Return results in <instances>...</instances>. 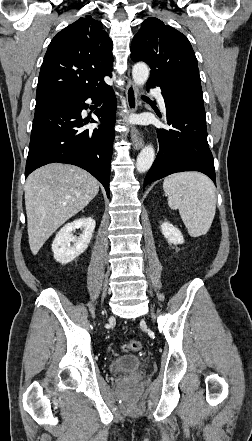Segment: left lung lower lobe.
<instances>
[{
  "mask_svg": "<svg viewBox=\"0 0 252 441\" xmlns=\"http://www.w3.org/2000/svg\"><path fill=\"white\" fill-rule=\"evenodd\" d=\"M157 85L147 84L148 88ZM170 130L158 129L159 153L147 173L144 187L167 175L182 171H199L214 183L215 169L207 142L203 102L190 91L176 87H160Z\"/></svg>",
  "mask_w": 252,
  "mask_h": 441,
  "instance_id": "left-lung-lower-lobe-1",
  "label": "left lung lower lobe"
}]
</instances>
